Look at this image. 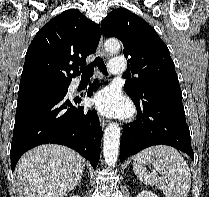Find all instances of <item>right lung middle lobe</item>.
<instances>
[{
	"label": "right lung middle lobe",
	"mask_w": 209,
	"mask_h": 197,
	"mask_svg": "<svg viewBox=\"0 0 209 197\" xmlns=\"http://www.w3.org/2000/svg\"><path fill=\"white\" fill-rule=\"evenodd\" d=\"M68 87L69 84H44L20 88L18 93V103L43 96L63 95L67 93Z\"/></svg>",
	"instance_id": "obj_1"
}]
</instances>
